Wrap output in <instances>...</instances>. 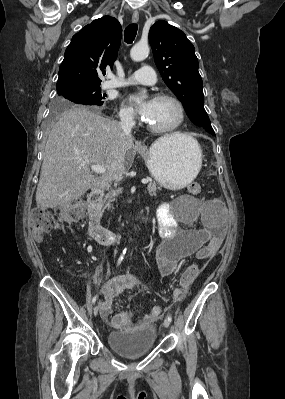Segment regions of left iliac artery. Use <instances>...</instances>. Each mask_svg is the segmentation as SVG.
Returning a JSON list of instances; mask_svg holds the SVG:
<instances>
[{
	"instance_id": "1",
	"label": "left iliac artery",
	"mask_w": 285,
	"mask_h": 399,
	"mask_svg": "<svg viewBox=\"0 0 285 399\" xmlns=\"http://www.w3.org/2000/svg\"><path fill=\"white\" fill-rule=\"evenodd\" d=\"M167 319L171 322L172 321L171 315H167Z\"/></svg>"
}]
</instances>
